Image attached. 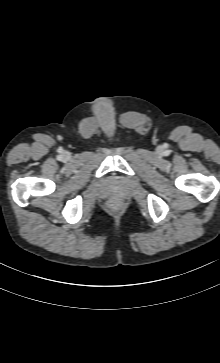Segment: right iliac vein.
I'll list each match as a JSON object with an SVG mask.
<instances>
[{"label": "right iliac vein", "instance_id": "63e3f726", "mask_svg": "<svg viewBox=\"0 0 220 363\" xmlns=\"http://www.w3.org/2000/svg\"><path fill=\"white\" fill-rule=\"evenodd\" d=\"M63 156H64L65 158H68L70 155H69V153H68V152H64V153H63Z\"/></svg>", "mask_w": 220, "mask_h": 363}]
</instances>
